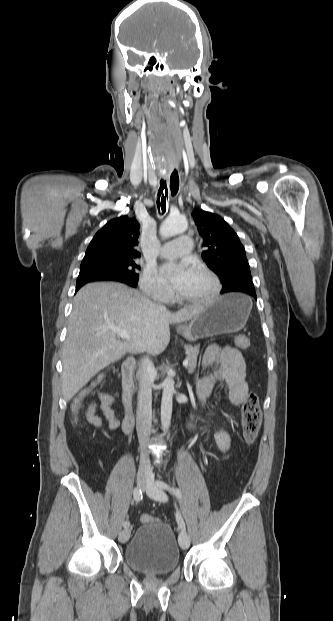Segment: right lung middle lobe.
<instances>
[{"label": "right lung middle lobe", "mask_w": 333, "mask_h": 621, "mask_svg": "<svg viewBox=\"0 0 333 621\" xmlns=\"http://www.w3.org/2000/svg\"><path fill=\"white\" fill-rule=\"evenodd\" d=\"M140 267L131 257L83 259L78 280H113L137 285Z\"/></svg>", "instance_id": "obj_1"}]
</instances>
